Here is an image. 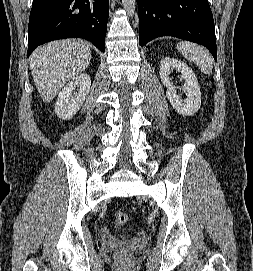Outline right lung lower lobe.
<instances>
[{"label":"right lung lower lobe","instance_id":"obj_1","mask_svg":"<svg viewBox=\"0 0 253 271\" xmlns=\"http://www.w3.org/2000/svg\"><path fill=\"white\" fill-rule=\"evenodd\" d=\"M109 0H33L28 53L46 42L79 37L105 51Z\"/></svg>","mask_w":253,"mask_h":271}]
</instances>
